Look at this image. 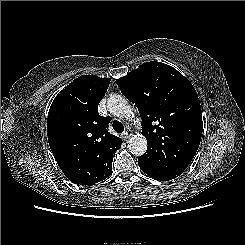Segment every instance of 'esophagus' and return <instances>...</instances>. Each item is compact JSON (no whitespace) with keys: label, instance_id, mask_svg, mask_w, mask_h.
<instances>
[{"label":"esophagus","instance_id":"34e87169","mask_svg":"<svg viewBox=\"0 0 245 245\" xmlns=\"http://www.w3.org/2000/svg\"><path fill=\"white\" fill-rule=\"evenodd\" d=\"M132 134H133V132L129 127H127L125 129V131L122 133V135L125 139L130 138L132 136Z\"/></svg>","mask_w":245,"mask_h":245}]
</instances>
